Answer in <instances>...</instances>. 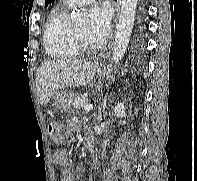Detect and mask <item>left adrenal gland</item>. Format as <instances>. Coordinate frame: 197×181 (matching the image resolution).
I'll list each match as a JSON object with an SVG mask.
<instances>
[{
    "label": "left adrenal gland",
    "mask_w": 197,
    "mask_h": 181,
    "mask_svg": "<svg viewBox=\"0 0 197 181\" xmlns=\"http://www.w3.org/2000/svg\"><path fill=\"white\" fill-rule=\"evenodd\" d=\"M106 98H107V96H105L104 99H103V103H102L103 110H105L107 108V106H106Z\"/></svg>",
    "instance_id": "1"
}]
</instances>
